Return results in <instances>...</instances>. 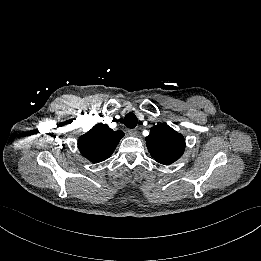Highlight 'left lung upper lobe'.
<instances>
[{
  "instance_id": "5c2ea615",
  "label": "left lung upper lobe",
  "mask_w": 261,
  "mask_h": 261,
  "mask_svg": "<svg viewBox=\"0 0 261 261\" xmlns=\"http://www.w3.org/2000/svg\"><path fill=\"white\" fill-rule=\"evenodd\" d=\"M145 140L151 156L161 164L169 165L184 153V137L167 124L152 127Z\"/></svg>"
}]
</instances>
